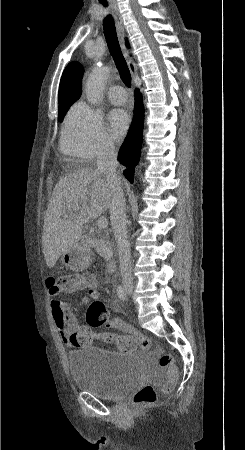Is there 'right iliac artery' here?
I'll list each match as a JSON object with an SVG mask.
<instances>
[{"mask_svg":"<svg viewBox=\"0 0 245 450\" xmlns=\"http://www.w3.org/2000/svg\"><path fill=\"white\" fill-rule=\"evenodd\" d=\"M117 295L123 301L126 299L125 292L122 286L117 287Z\"/></svg>","mask_w":245,"mask_h":450,"instance_id":"82829eb1","label":"right iliac artery"}]
</instances>
